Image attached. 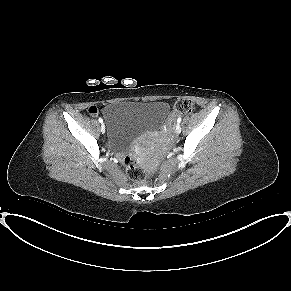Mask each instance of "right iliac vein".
<instances>
[{"mask_svg": "<svg viewBox=\"0 0 291 291\" xmlns=\"http://www.w3.org/2000/svg\"><path fill=\"white\" fill-rule=\"evenodd\" d=\"M101 132H102V133L105 132V126H104V124L101 125Z\"/></svg>", "mask_w": 291, "mask_h": 291, "instance_id": "63e3f726", "label": "right iliac vein"}]
</instances>
